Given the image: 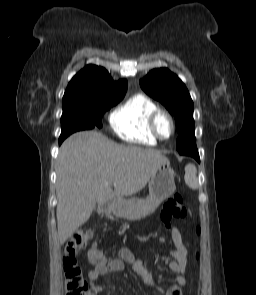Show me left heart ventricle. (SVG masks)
<instances>
[{
    "label": "left heart ventricle",
    "mask_w": 256,
    "mask_h": 295,
    "mask_svg": "<svg viewBox=\"0 0 256 295\" xmlns=\"http://www.w3.org/2000/svg\"><path fill=\"white\" fill-rule=\"evenodd\" d=\"M158 129L164 137H168L171 132V127L166 118H161L158 122Z\"/></svg>",
    "instance_id": "1"
}]
</instances>
